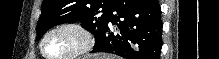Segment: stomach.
Here are the masks:
<instances>
[{
	"instance_id": "0dacf381",
	"label": "stomach",
	"mask_w": 219,
	"mask_h": 59,
	"mask_svg": "<svg viewBox=\"0 0 219 59\" xmlns=\"http://www.w3.org/2000/svg\"><path fill=\"white\" fill-rule=\"evenodd\" d=\"M99 59H110V57L109 56H106V55H103V56H101V57H98Z\"/></svg>"
}]
</instances>
